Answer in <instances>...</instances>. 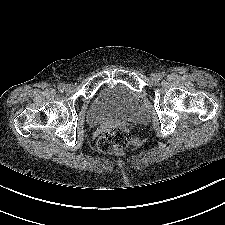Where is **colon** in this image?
<instances>
[{"label": "colon", "instance_id": "5ec220e1", "mask_svg": "<svg viewBox=\"0 0 225 225\" xmlns=\"http://www.w3.org/2000/svg\"><path fill=\"white\" fill-rule=\"evenodd\" d=\"M139 139L124 127H113L106 130L98 139L97 146L101 152L113 153L128 147L137 146Z\"/></svg>", "mask_w": 225, "mask_h": 225}]
</instances>
